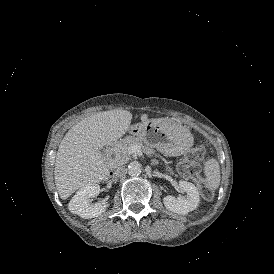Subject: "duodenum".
Segmentation results:
<instances>
[{
	"label": "duodenum",
	"mask_w": 274,
	"mask_h": 274,
	"mask_svg": "<svg viewBox=\"0 0 274 274\" xmlns=\"http://www.w3.org/2000/svg\"><path fill=\"white\" fill-rule=\"evenodd\" d=\"M108 154H109V150H107V156H108ZM107 159H108V162H109L110 161L109 158H107Z\"/></svg>",
	"instance_id": "410a0bca"
}]
</instances>
